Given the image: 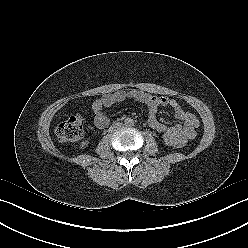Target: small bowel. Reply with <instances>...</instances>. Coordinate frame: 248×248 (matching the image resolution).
<instances>
[{
    "mask_svg": "<svg viewBox=\"0 0 248 248\" xmlns=\"http://www.w3.org/2000/svg\"><path fill=\"white\" fill-rule=\"evenodd\" d=\"M125 100H135L147 106L148 125L151 129L160 133L170 132L177 135L182 145L195 138L199 121L194 114L184 110L174 99L151 95L140 90H118L97 98L92 104L95 126L99 129L105 128L109 124V119L104 109ZM161 106L170 107L174 112L175 118L181 121L182 124L168 126L161 122L157 118V110Z\"/></svg>",
    "mask_w": 248,
    "mask_h": 248,
    "instance_id": "1",
    "label": "small bowel"
}]
</instances>
